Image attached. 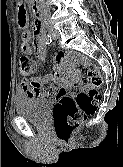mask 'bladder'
I'll list each match as a JSON object with an SVG mask.
<instances>
[{
  "mask_svg": "<svg viewBox=\"0 0 123 167\" xmlns=\"http://www.w3.org/2000/svg\"><path fill=\"white\" fill-rule=\"evenodd\" d=\"M16 112L27 121L44 125L52 109V102L47 98L19 96L15 102Z\"/></svg>",
  "mask_w": 123,
  "mask_h": 167,
  "instance_id": "1",
  "label": "bladder"
}]
</instances>
